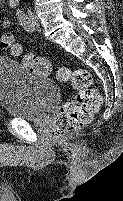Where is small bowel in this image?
Masks as SVG:
<instances>
[{
	"mask_svg": "<svg viewBox=\"0 0 123 201\" xmlns=\"http://www.w3.org/2000/svg\"><path fill=\"white\" fill-rule=\"evenodd\" d=\"M10 27H11V21L9 20V18H7L6 16H1L0 17V38H1V43H2L3 39L7 35H11V34L7 33V31L9 30Z\"/></svg>",
	"mask_w": 123,
	"mask_h": 201,
	"instance_id": "c3829d8e",
	"label": "small bowel"
}]
</instances>
